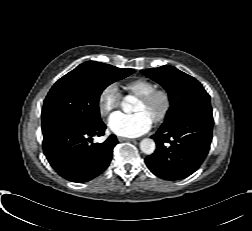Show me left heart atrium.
I'll use <instances>...</instances> for the list:
<instances>
[{"label":"left heart atrium","mask_w":252,"mask_h":231,"mask_svg":"<svg viewBox=\"0 0 252 231\" xmlns=\"http://www.w3.org/2000/svg\"><path fill=\"white\" fill-rule=\"evenodd\" d=\"M108 126L118 136L134 138L147 133L152 127V120L144 112L116 113L110 117Z\"/></svg>","instance_id":"39dd6f15"}]
</instances>
